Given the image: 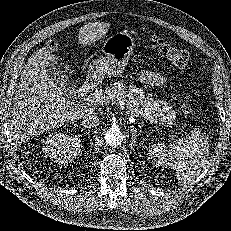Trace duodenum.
Segmentation results:
<instances>
[{"label":"duodenum","instance_id":"obj_1","mask_svg":"<svg viewBox=\"0 0 231 231\" xmlns=\"http://www.w3.org/2000/svg\"><path fill=\"white\" fill-rule=\"evenodd\" d=\"M96 86V79L89 77L80 87L81 93H88L92 91Z\"/></svg>","mask_w":231,"mask_h":231}]
</instances>
